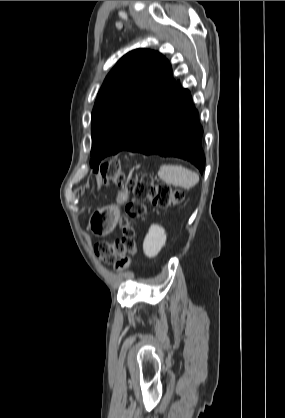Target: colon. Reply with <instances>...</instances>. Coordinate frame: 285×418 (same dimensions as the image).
I'll return each instance as SVG.
<instances>
[{
	"mask_svg": "<svg viewBox=\"0 0 285 418\" xmlns=\"http://www.w3.org/2000/svg\"><path fill=\"white\" fill-rule=\"evenodd\" d=\"M96 174L106 184L110 181L119 185L126 184V176L121 171L118 160L109 161L100 167ZM133 192L135 200L126 205L124 216L120 222L121 237L113 241L101 242L95 248L97 257L102 261L112 262L121 256L122 259L117 266L119 269L126 268L130 260L139 253L136 232L132 223L145 215V202L149 201L153 206L169 209L178 205L183 198L182 191L166 184H155L149 175L143 176L141 181L133 186Z\"/></svg>",
	"mask_w": 285,
	"mask_h": 418,
	"instance_id": "1",
	"label": "colon"
}]
</instances>
